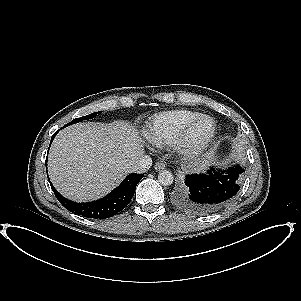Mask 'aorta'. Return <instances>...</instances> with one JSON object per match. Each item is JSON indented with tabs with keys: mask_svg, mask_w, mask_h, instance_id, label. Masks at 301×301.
I'll use <instances>...</instances> for the list:
<instances>
[{
	"mask_svg": "<svg viewBox=\"0 0 301 301\" xmlns=\"http://www.w3.org/2000/svg\"><path fill=\"white\" fill-rule=\"evenodd\" d=\"M174 177L168 170H163L158 174V182L163 186H169L173 183Z\"/></svg>",
	"mask_w": 301,
	"mask_h": 301,
	"instance_id": "1",
	"label": "aorta"
}]
</instances>
